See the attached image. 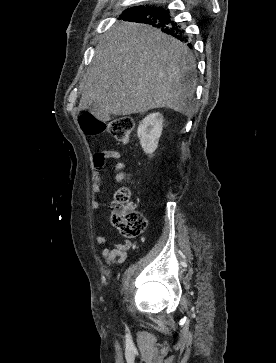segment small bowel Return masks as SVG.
Here are the masks:
<instances>
[{
  "instance_id": "1",
  "label": "small bowel",
  "mask_w": 276,
  "mask_h": 363,
  "mask_svg": "<svg viewBox=\"0 0 276 363\" xmlns=\"http://www.w3.org/2000/svg\"><path fill=\"white\" fill-rule=\"evenodd\" d=\"M122 158V153L115 150H102L97 152L93 156V185H92V201L91 205L94 209H97L101 205V201L98 198L104 192L103 176L102 171L106 165L108 159L120 160ZM126 169V164L118 161L113 165V170L118 172L114 177L115 182H121L126 178L124 170ZM101 219H96V224L100 225ZM96 242L99 245L104 246L101 256L107 264H112L114 262L121 264L126 260V251L130 248L129 241H123L118 244H111L108 242L107 238L103 235L96 237Z\"/></svg>"
}]
</instances>
